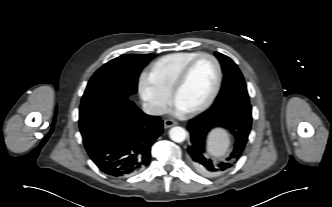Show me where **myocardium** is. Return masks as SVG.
<instances>
[{"label":"myocardium","instance_id":"myocardium-1","mask_svg":"<svg viewBox=\"0 0 332 207\" xmlns=\"http://www.w3.org/2000/svg\"><path fill=\"white\" fill-rule=\"evenodd\" d=\"M202 58H208V59L212 60V62L214 63L215 69H216V81H215L214 88H213L211 94L209 95V97L207 98V100L204 103H202L201 105H199L198 107L187 111L186 113L188 115H197V114L205 111L206 109H208L212 105L214 100L216 99V97L220 91L221 84H222V67H221L219 60L212 54L200 53L199 55H197L196 57H194L190 61H188L186 63V65L181 69L178 76L176 77V79L173 83V86L171 88V92H170L172 101L175 103L176 96H177L178 92L180 91V89L182 88V86L184 85V83L186 82L192 67L194 66V64L197 61H199Z\"/></svg>","mask_w":332,"mask_h":207}]
</instances>
